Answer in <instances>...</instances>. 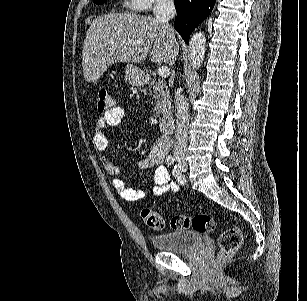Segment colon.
I'll list each match as a JSON object with an SVG mask.
<instances>
[{
	"label": "colon",
	"instance_id": "5ec220e1",
	"mask_svg": "<svg viewBox=\"0 0 307 301\" xmlns=\"http://www.w3.org/2000/svg\"><path fill=\"white\" fill-rule=\"evenodd\" d=\"M111 107V97L106 90H100L97 98L98 112H106ZM144 223L154 229L161 230L165 227L163 217L155 210L145 208L141 212ZM217 218L208 213H199L193 216L176 215L171 219L170 225L175 230L193 229L199 233L212 231ZM243 235L239 227L230 225L219 236L218 261H224L234 255L242 246Z\"/></svg>",
	"mask_w": 307,
	"mask_h": 301
}]
</instances>
